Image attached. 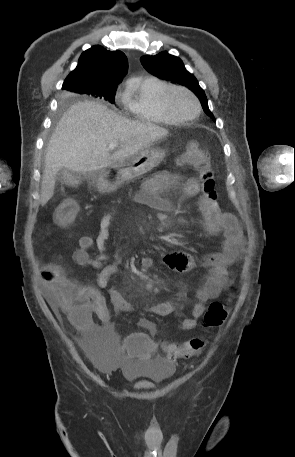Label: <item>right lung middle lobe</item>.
Instances as JSON below:
<instances>
[{"mask_svg":"<svg viewBox=\"0 0 295 457\" xmlns=\"http://www.w3.org/2000/svg\"><path fill=\"white\" fill-rule=\"evenodd\" d=\"M116 88H117L116 86H111V87L93 89V88H90L89 86L82 85V84H75L72 86V90L75 93L88 94V95H92L95 97H100V98H103V99L109 101L112 104L114 103Z\"/></svg>","mask_w":295,"mask_h":457,"instance_id":"dd1d6c3e","label":"right lung middle lobe"}]
</instances>
